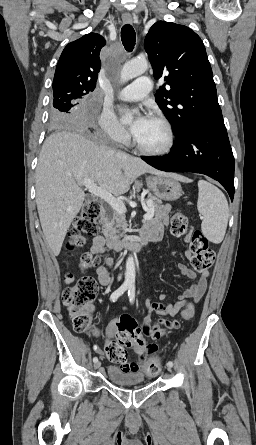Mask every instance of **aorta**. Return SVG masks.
I'll return each mask as SVG.
<instances>
[{
  "label": "aorta",
  "mask_w": 256,
  "mask_h": 445,
  "mask_svg": "<svg viewBox=\"0 0 256 445\" xmlns=\"http://www.w3.org/2000/svg\"><path fill=\"white\" fill-rule=\"evenodd\" d=\"M148 68V62L146 59H134L126 62L121 70V82H126L132 78L142 75ZM132 115H126L122 118L123 122L130 123L132 121ZM136 277V267L133 257H129L126 261L125 270V283L134 284Z\"/></svg>",
  "instance_id": "aorta-1"
}]
</instances>
